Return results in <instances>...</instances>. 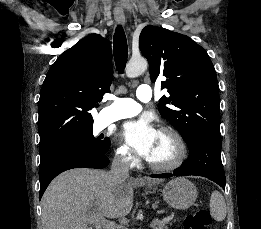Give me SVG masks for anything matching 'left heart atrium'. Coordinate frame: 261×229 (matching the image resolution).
<instances>
[{"instance_id":"obj_1","label":"left heart atrium","mask_w":261,"mask_h":229,"mask_svg":"<svg viewBox=\"0 0 261 229\" xmlns=\"http://www.w3.org/2000/svg\"><path fill=\"white\" fill-rule=\"evenodd\" d=\"M122 137L142 158L148 159L158 136L157 130L148 122H128L122 128Z\"/></svg>"}]
</instances>
